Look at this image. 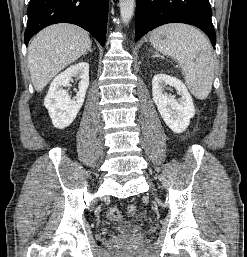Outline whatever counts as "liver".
<instances>
[{"label":"liver","instance_id":"liver-1","mask_svg":"<svg viewBox=\"0 0 247 257\" xmlns=\"http://www.w3.org/2000/svg\"><path fill=\"white\" fill-rule=\"evenodd\" d=\"M89 34L67 23L46 27L32 39L28 65L33 86L40 92L50 80L91 48Z\"/></svg>","mask_w":247,"mask_h":257}]
</instances>
